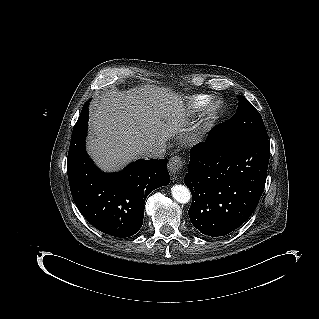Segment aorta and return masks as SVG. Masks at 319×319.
<instances>
[{
    "label": "aorta",
    "instance_id": "aorta-1",
    "mask_svg": "<svg viewBox=\"0 0 319 319\" xmlns=\"http://www.w3.org/2000/svg\"><path fill=\"white\" fill-rule=\"evenodd\" d=\"M173 198L181 204H186L191 199L190 190L184 185H174L171 188Z\"/></svg>",
    "mask_w": 319,
    "mask_h": 319
}]
</instances>
